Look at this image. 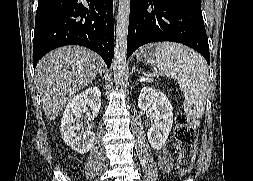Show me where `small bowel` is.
I'll list each match as a JSON object with an SVG mask.
<instances>
[{
	"label": "small bowel",
	"instance_id": "obj_1",
	"mask_svg": "<svg viewBox=\"0 0 253 181\" xmlns=\"http://www.w3.org/2000/svg\"><path fill=\"white\" fill-rule=\"evenodd\" d=\"M158 165L163 171H169L173 166V156L170 150L162 149L158 155Z\"/></svg>",
	"mask_w": 253,
	"mask_h": 181
}]
</instances>
